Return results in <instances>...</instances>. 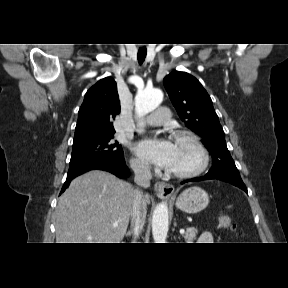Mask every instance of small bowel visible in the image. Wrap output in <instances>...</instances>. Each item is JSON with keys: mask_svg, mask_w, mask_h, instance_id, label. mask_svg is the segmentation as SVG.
<instances>
[{"mask_svg": "<svg viewBox=\"0 0 288 288\" xmlns=\"http://www.w3.org/2000/svg\"><path fill=\"white\" fill-rule=\"evenodd\" d=\"M214 238L212 234L208 231L203 232L199 237V243H213Z\"/></svg>", "mask_w": 288, "mask_h": 288, "instance_id": "obj_1", "label": "small bowel"}]
</instances>
